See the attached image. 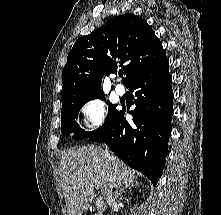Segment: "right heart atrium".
<instances>
[{
	"label": "right heart atrium",
	"mask_w": 221,
	"mask_h": 215,
	"mask_svg": "<svg viewBox=\"0 0 221 215\" xmlns=\"http://www.w3.org/2000/svg\"><path fill=\"white\" fill-rule=\"evenodd\" d=\"M83 124L87 130H97L102 126L106 117L104 103L96 98L90 99L80 107Z\"/></svg>",
	"instance_id": "right-heart-atrium-1"
}]
</instances>
